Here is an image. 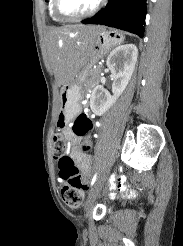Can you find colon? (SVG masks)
Returning <instances> with one entry per match:
<instances>
[{"instance_id": "5ec220e1", "label": "colon", "mask_w": 183, "mask_h": 246, "mask_svg": "<svg viewBox=\"0 0 183 246\" xmlns=\"http://www.w3.org/2000/svg\"><path fill=\"white\" fill-rule=\"evenodd\" d=\"M60 122H63V119ZM94 128L92 120L87 114L78 115L72 125L74 134L85 137H92ZM79 151L84 152V155H89L93 148L86 147V144L82 143ZM54 156L61 179L60 193L62 200L67 206L77 208L82 204L83 191L87 189L88 181L68 155L67 146L60 134H56L54 137Z\"/></svg>"}]
</instances>
